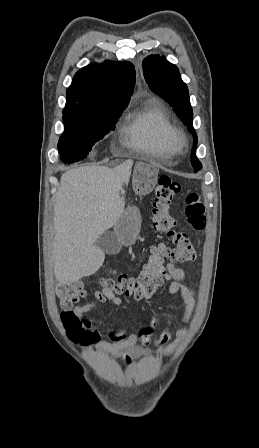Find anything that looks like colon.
I'll list each match as a JSON object with an SVG mask.
<instances>
[{
    "label": "colon",
    "mask_w": 259,
    "mask_h": 448,
    "mask_svg": "<svg viewBox=\"0 0 259 448\" xmlns=\"http://www.w3.org/2000/svg\"><path fill=\"white\" fill-rule=\"evenodd\" d=\"M180 184L169 176H161L156 184L152 206V224L155 230L167 234L172 245H160L144 256V265L137 276L117 274L113 278L103 280V285L115 294H125L135 299L150 298L163 282L165 270L163 262H188L195 258V248L186 233L176 230V220L170 213V204L180 192ZM186 217L189 226L201 233L206 226V209L200 196L192 192L186 197ZM87 294L82 281L62 285L57 289L60 306L64 309L62 323L68 337L73 342L84 341L87 330L84 322L77 317L71 308Z\"/></svg>",
    "instance_id": "1"
}]
</instances>
